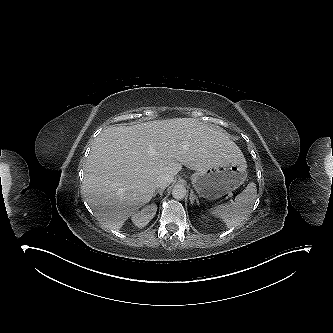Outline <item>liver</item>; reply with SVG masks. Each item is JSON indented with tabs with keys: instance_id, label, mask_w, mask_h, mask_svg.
Segmentation results:
<instances>
[{
	"instance_id": "liver-1",
	"label": "liver",
	"mask_w": 333,
	"mask_h": 333,
	"mask_svg": "<svg viewBox=\"0 0 333 333\" xmlns=\"http://www.w3.org/2000/svg\"><path fill=\"white\" fill-rule=\"evenodd\" d=\"M244 158L222 129L193 118L110 126L95 139L85 166L83 194L97 219L119 230L150 202L159 175L182 165L195 171Z\"/></svg>"
}]
</instances>
